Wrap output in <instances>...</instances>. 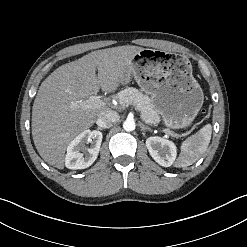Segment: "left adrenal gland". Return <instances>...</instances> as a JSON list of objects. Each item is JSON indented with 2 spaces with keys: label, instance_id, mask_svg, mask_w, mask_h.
Listing matches in <instances>:
<instances>
[{
  "label": "left adrenal gland",
  "instance_id": "1",
  "mask_svg": "<svg viewBox=\"0 0 247 247\" xmlns=\"http://www.w3.org/2000/svg\"><path fill=\"white\" fill-rule=\"evenodd\" d=\"M139 126L141 128V130L144 132V131H152L151 128L145 126L143 123H139Z\"/></svg>",
  "mask_w": 247,
  "mask_h": 247
}]
</instances>
